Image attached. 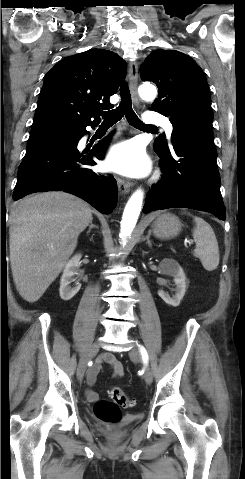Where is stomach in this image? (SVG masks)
Returning a JSON list of instances; mask_svg holds the SVG:
<instances>
[{"mask_svg": "<svg viewBox=\"0 0 245 479\" xmlns=\"http://www.w3.org/2000/svg\"><path fill=\"white\" fill-rule=\"evenodd\" d=\"M153 234L160 239H170L181 231L182 224L178 217L165 213L160 215L153 223Z\"/></svg>", "mask_w": 245, "mask_h": 479, "instance_id": "stomach-1", "label": "stomach"}]
</instances>
